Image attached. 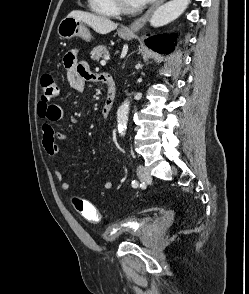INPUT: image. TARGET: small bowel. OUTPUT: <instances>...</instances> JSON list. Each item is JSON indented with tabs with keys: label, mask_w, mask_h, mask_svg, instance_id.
<instances>
[{
	"label": "small bowel",
	"mask_w": 249,
	"mask_h": 294,
	"mask_svg": "<svg viewBox=\"0 0 249 294\" xmlns=\"http://www.w3.org/2000/svg\"><path fill=\"white\" fill-rule=\"evenodd\" d=\"M78 50L72 49L68 51L64 58L66 71V79L69 86L77 91H82L85 88L86 82H99V74H95L90 70L89 64L86 61H78ZM39 117L43 120L42 129V145L49 160L53 161L57 158L60 148L58 140H63L67 136L59 133L55 129V124L64 118V109L59 104H48L40 102L38 106ZM53 175L60 183V188L63 191H68L71 187L70 183L64 179V174L61 170L54 168ZM105 190L113 188V182L106 180L103 183ZM170 214L162 215V218L168 217Z\"/></svg>",
	"instance_id": "1"
}]
</instances>
